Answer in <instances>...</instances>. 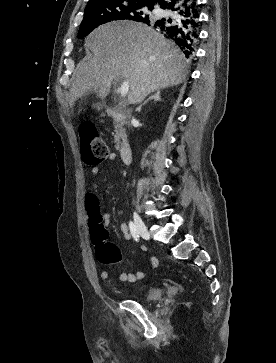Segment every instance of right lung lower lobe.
<instances>
[{"label": "right lung lower lobe", "instance_id": "1", "mask_svg": "<svg viewBox=\"0 0 276 363\" xmlns=\"http://www.w3.org/2000/svg\"><path fill=\"white\" fill-rule=\"evenodd\" d=\"M160 7L171 14L144 22L175 42L187 58L193 57L199 28L197 0H164Z\"/></svg>", "mask_w": 276, "mask_h": 363}]
</instances>
